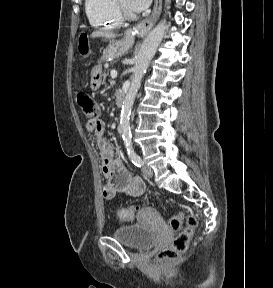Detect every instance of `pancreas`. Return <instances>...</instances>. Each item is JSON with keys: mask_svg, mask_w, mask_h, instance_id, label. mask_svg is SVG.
Instances as JSON below:
<instances>
[{"mask_svg": "<svg viewBox=\"0 0 273 288\" xmlns=\"http://www.w3.org/2000/svg\"><path fill=\"white\" fill-rule=\"evenodd\" d=\"M109 75V71L105 70L104 73L102 74V77H103V81L102 83L105 84V80H106V77Z\"/></svg>", "mask_w": 273, "mask_h": 288, "instance_id": "cf45deb5", "label": "pancreas"}]
</instances>
